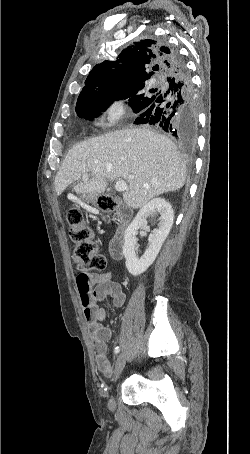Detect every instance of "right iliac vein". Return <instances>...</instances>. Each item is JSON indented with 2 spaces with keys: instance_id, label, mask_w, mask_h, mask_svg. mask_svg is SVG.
<instances>
[{
  "instance_id": "right-iliac-vein-1",
  "label": "right iliac vein",
  "mask_w": 250,
  "mask_h": 454,
  "mask_svg": "<svg viewBox=\"0 0 250 454\" xmlns=\"http://www.w3.org/2000/svg\"><path fill=\"white\" fill-rule=\"evenodd\" d=\"M125 363H126V355L124 352H121L117 358V366H116L115 377H114L115 382L119 378V375H120L121 371L123 370ZM108 406L111 410L115 409L116 403H115L113 396H111V398L109 399Z\"/></svg>"
}]
</instances>
